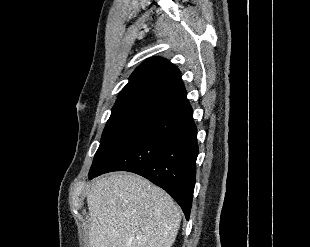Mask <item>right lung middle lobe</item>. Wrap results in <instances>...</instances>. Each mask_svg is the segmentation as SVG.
<instances>
[{"instance_id": "dd1d6c3e", "label": "right lung middle lobe", "mask_w": 310, "mask_h": 247, "mask_svg": "<svg viewBox=\"0 0 310 247\" xmlns=\"http://www.w3.org/2000/svg\"><path fill=\"white\" fill-rule=\"evenodd\" d=\"M159 111L149 107H135L112 111L94 156L90 172L109 160L123 144Z\"/></svg>"}]
</instances>
